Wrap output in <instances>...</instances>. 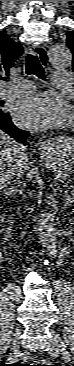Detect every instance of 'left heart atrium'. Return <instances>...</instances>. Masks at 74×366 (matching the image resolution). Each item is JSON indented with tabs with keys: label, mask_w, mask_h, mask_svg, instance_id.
<instances>
[{
	"label": "left heart atrium",
	"mask_w": 74,
	"mask_h": 366,
	"mask_svg": "<svg viewBox=\"0 0 74 366\" xmlns=\"http://www.w3.org/2000/svg\"><path fill=\"white\" fill-rule=\"evenodd\" d=\"M12 113L17 124L44 130L60 127L67 119L66 104L54 93H37L18 100Z\"/></svg>",
	"instance_id": "39dd6f15"
}]
</instances>
